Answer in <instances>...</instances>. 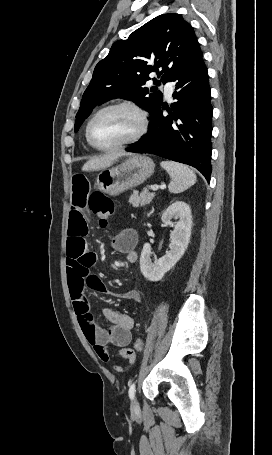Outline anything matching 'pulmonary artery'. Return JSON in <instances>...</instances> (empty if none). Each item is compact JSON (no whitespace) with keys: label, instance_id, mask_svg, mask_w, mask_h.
I'll return each mask as SVG.
<instances>
[{"label":"pulmonary artery","instance_id":"pulmonary-artery-1","mask_svg":"<svg viewBox=\"0 0 272 455\" xmlns=\"http://www.w3.org/2000/svg\"><path fill=\"white\" fill-rule=\"evenodd\" d=\"M172 91H173V85L171 82H166L164 84V92H165V95L169 98L171 97L172 95Z\"/></svg>","mask_w":272,"mask_h":455}]
</instances>
